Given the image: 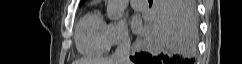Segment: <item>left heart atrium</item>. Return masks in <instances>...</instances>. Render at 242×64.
I'll use <instances>...</instances> for the list:
<instances>
[{
  "label": "left heart atrium",
  "mask_w": 242,
  "mask_h": 64,
  "mask_svg": "<svg viewBox=\"0 0 242 64\" xmlns=\"http://www.w3.org/2000/svg\"><path fill=\"white\" fill-rule=\"evenodd\" d=\"M132 25H133V28H134L135 31H139L140 30V24H139V22L137 20H134Z\"/></svg>",
  "instance_id": "1"
}]
</instances>
